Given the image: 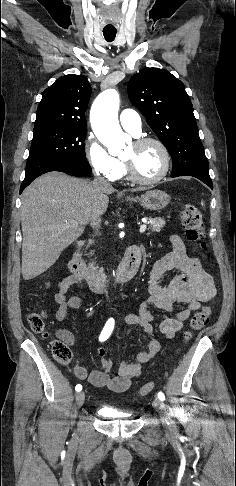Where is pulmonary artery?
<instances>
[{
    "mask_svg": "<svg viewBox=\"0 0 236 486\" xmlns=\"http://www.w3.org/2000/svg\"><path fill=\"white\" fill-rule=\"evenodd\" d=\"M120 124L129 133L139 136L141 133V118L139 114L132 109H124L119 116Z\"/></svg>",
    "mask_w": 236,
    "mask_h": 486,
    "instance_id": "1",
    "label": "pulmonary artery"
}]
</instances>
